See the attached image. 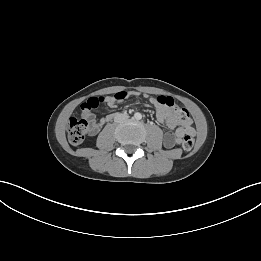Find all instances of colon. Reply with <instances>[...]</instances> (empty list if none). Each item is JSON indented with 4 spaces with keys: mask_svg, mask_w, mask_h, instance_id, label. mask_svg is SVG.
Returning <instances> with one entry per match:
<instances>
[{
    "mask_svg": "<svg viewBox=\"0 0 261 261\" xmlns=\"http://www.w3.org/2000/svg\"><path fill=\"white\" fill-rule=\"evenodd\" d=\"M128 97L127 92H118L111 98L114 101H123ZM159 102L162 104L174 106V101L170 97L159 96L157 97ZM105 97H93L82 104V117L71 118L67 125L68 139L70 143L78 145L83 142L85 136L90 130V111L95 109L99 103L105 101ZM174 117L177 121L186 122L189 120L188 111L184 108L174 107ZM194 146V138L192 135H186L182 141L183 150L188 153Z\"/></svg>",
    "mask_w": 261,
    "mask_h": 261,
    "instance_id": "obj_1",
    "label": "colon"
}]
</instances>
